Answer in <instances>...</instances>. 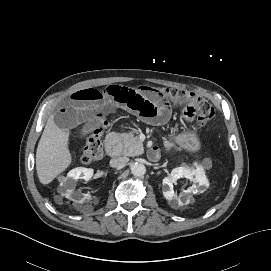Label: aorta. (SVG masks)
Returning a JSON list of instances; mask_svg holds the SVG:
<instances>
[{
    "instance_id": "762f6f07",
    "label": "aorta",
    "mask_w": 271,
    "mask_h": 271,
    "mask_svg": "<svg viewBox=\"0 0 271 271\" xmlns=\"http://www.w3.org/2000/svg\"><path fill=\"white\" fill-rule=\"evenodd\" d=\"M145 172H146V167L142 163H134L131 166V173L134 176H137V177L143 176L145 174Z\"/></svg>"
}]
</instances>
